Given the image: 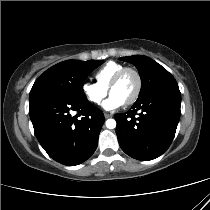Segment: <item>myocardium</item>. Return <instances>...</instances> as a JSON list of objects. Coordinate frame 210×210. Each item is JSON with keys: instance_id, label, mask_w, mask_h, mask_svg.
<instances>
[{"instance_id": "myocardium-1", "label": "myocardium", "mask_w": 210, "mask_h": 210, "mask_svg": "<svg viewBox=\"0 0 210 210\" xmlns=\"http://www.w3.org/2000/svg\"><path fill=\"white\" fill-rule=\"evenodd\" d=\"M129 72L133 73L136 76V78H137V88H136V91H135L134 95L124 103L126 106L133 105L139 99V97L141 95V92H142V89H143V79H142V76H141L140 72L137 69L132 68V67H124L123 69H121L120 71H118L116 73V75L114 76V78L112 79V81H111V83L108 87V91H109V93H111V90L117 84H119V82L122 80L124 75L126 73H129Z\"/></svg>"}]
</instances>
